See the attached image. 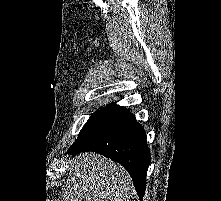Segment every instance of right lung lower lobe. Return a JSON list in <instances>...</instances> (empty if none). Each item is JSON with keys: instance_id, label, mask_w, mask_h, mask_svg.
Returning <instances> with one entry per match:
<instances>
[{"instance_id": "98d812e1", "label": "right lung lower lobe", "mask_w": 221, "mask_h": 201, "mask_svg": "<svg viewBox=\"0 0 221 201\" xmlns=\"http://www.w3.org/2000/svg\"><path fill=\"white\" fill-rule=\"evenodd\" d=\"M86 151L120 163L130 173L139 198H143L150 151L144 129L126 108L109 104L84 125L67 153Z\"/></svg>"}]
</instances>
